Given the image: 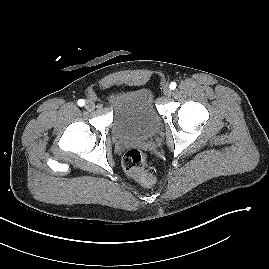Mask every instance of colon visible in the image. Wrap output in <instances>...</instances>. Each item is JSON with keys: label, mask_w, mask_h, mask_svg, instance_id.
Returning <instances> with one entry per match:
<instances>
[{"label": "colon", "mask_w": 269, "mask_h": 269, "mask_svg": "<svg viewBox=\"0 0 269 269\" xmlns=\"http://www.w3.org/2000/svg\"><path fill=\"white\" fill-rule=\"evenodd\" d=\"M125 171L145 185L153 183L152 177L145 172L146 155L139 149L128 150L122 161Z\"/></svg>", "instance_id": "1"}]
</instances>
